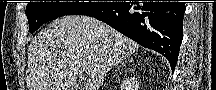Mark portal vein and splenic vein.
I'll list each match as a JSON object with an SVG mask.
<instances>
[{
    "mask_svg": "<svg viewBox=\"0 0 216 90\" xmlns=\"http://www.w3.org/2000/svg\"><path fill=\"white\" fill-rule=\"evenodd\" d=\"M82 70H83V72H88L86 66H82Z\"/></svg>",
    "mask_w": 216,
    "mask_h": 90,
    "instance_id": "portal-vein-and-splenic-vein-1",
    "label": "portal vein and splenic vein"
}]
</instances>
